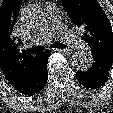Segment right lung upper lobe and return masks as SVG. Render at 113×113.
Returning <instances> with one entry per match:
<instances>
[{"label":"right lung upper lobe","instance_id":"obj_1","mask_svg":"<svg viewBox=\"0 0 113 113\" xmlns=\"http://www.w3.org/2000/svg\"><path fill=\"white\" fill-rule=\"evenodd\" d=\"M21 3L22 0H4L0 7V68L12 87L29 77L39 55L20 50L21 41L12 35Z\"/></svg>","mask_w":113,"mask_h":113}]
</instances>
